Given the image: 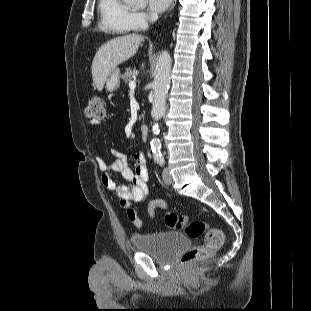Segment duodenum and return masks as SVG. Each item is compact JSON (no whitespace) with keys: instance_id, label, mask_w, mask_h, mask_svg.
Segmentation results:
<instances>
[{"instance_id":"1","label":"duodenum","mask_w":311,"mask_h":311,"mask_svg":"<svg viewBox=\"0 0 311 311\" xmlns=\"http://www.w3.org/2000/svg\"><path fill=\"white\" fill-rule=\"evenodd\" d=\"M141 140L147 141L149 138V128L147 125H142L140 128Z\"/></svg>"}]
</instances>
